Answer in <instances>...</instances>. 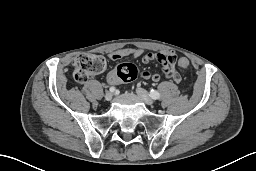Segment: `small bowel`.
<instances>
[{"label":"small bowel","mask_w":256,"mask_h":171,"mask_svg":"<svg viewBox=\"0 0 256 171\" xmlns=\"http://www.w3.org/2000/svg\"><path fill=\"white\" fill-rule=\"evenodd\" d=\"M132 56L136 59H142L143 62L147 63L152 60H158L162 63L163 68L161 73H151L148 70L142 72V77L146 80H152L159 82L163 78L172 79L175 82H180L181 77L175 68L176 54L171 51H161L159 53H147L145 54L142 49L135 47H124L114 50L109 53L108 57L111 60H120L124 57ZM107 82L111 85L119 83V79L116 74V70L110 71L106 78Z\"/></svg>","instance_id":"1"}]
</instances>
